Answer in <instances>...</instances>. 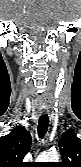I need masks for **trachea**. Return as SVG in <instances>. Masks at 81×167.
<instances>
[{
    "label": "trachea",
    "mask_w": 81,
    "mask_h": 167,
    "mask_svg": "<svg viewBox=\"0 0 81 167\" xmlns=\"http://www.w3.org/2000/svg\"><path fill=\"white\" fill-rule=\"evenodd\" d=\"M48 125H49V118L46 113L42 114L39 118L38 122V136L39 138H43L48 130Z\"/></svg>",
    "instance_id": "trachea-1"
}]
</instances>
